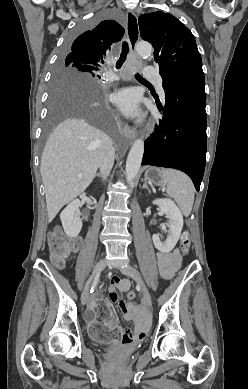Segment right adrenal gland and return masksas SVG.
<instances>
[{"label":"right adrenal gland","instance_id":"obj_1","mask_svg":"<svg viewBox=\"0 0 248 389\" xmlns=\"http://www.w3.org/2000/svg\"><path fill=\"white\" fill-rule=\"evenodd\" d=\"M96 177H100V174L98 173V174H96Z\"/></svg>","mask_w":248,"mask_h":389}]
</instances>
